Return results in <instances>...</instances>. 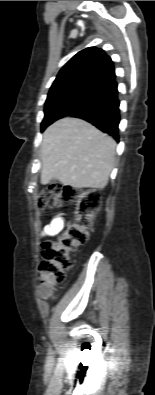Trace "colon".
I'll return each mask as SVG.
<instances>
[{
	"mask_svg": "<svg viewBox=\"0 0 155 395\" xmlns=\"http://www.w3.org/2000/svg\"><path fill=\"white\" fill-rule=\"evenodd\" d=\"M62 200L71 204L74 219L60 231L55 241L42 245L38 290L44 299L51 298L53 287L63 282L65 272L71 266V254L86 243L99 208L100 195L95 190H77L57 184L41 193L38 207L44 210L56 206Z\"/></svg>",
	"mask_w": 155,
	"mask_h": 395,
	"instance_id": "colon-1",
	"label": "colon"
}]
</instances>
